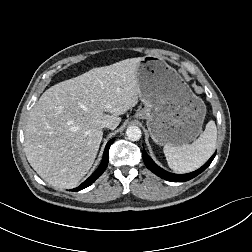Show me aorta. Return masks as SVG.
<instances>
[{
  "mask_svg": "<svg viewBox=\"0 0 252 252\" xmlns=\"http://www.w3.org/2000/svg\"><path fill=\"white\" fill-rule=\"evenodd\" d=\"M126 136L131 141H138L142 136L141 129L137 126H130L126 130Z\"/></svg>",
  "mask_w": 252,
  "mask_h": 252,
  "instance_id": "762f6f07",
  "label": "aorta"
}]
</instances>
